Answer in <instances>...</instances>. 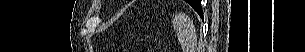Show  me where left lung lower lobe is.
Returning <instances> with one entry per match:
<instances>
[{"mask_svg": "<svg viewBox=\"0 0 305 52\" xmlns=\"http://www.w3.org/2000/svg\"><path fill=\"white\" fill-rule=\"evenodd\" d=\"M198 2H196V5L195 7H193L195 9V11L200 15L201 18H203V11H202V7H201V3H200V0H196Z\"/></svg>", "mask_w": 305, "mask_h": 52, "instance_id": "0a47b994", "label": "left lung lower lobe"}]
</instances>
